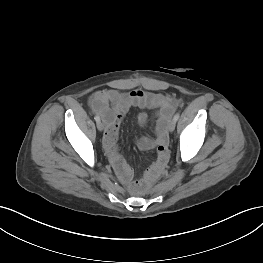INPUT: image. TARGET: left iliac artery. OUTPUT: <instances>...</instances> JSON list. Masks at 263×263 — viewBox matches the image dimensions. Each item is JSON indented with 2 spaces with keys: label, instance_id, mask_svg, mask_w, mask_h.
Returning a JSON list of instances; mask_svg holds the SVG:
<instances>
[{
  "label": "left iliac artery",
  "instance_id": "44dca946",
  "mask_svg": "<svg viewBox=\"0 0 263 263\" xmlns=\"http://www.w3.org/2000/svg\"><path fill=\"white\" fill-rule=\"evenodd\" d=\"M180 117V114L179 113H176L175 116H174V120L177 121Z\"/></svg>",
  "mask_w": 263,
  "mask_h": 263
}]
</instances>
